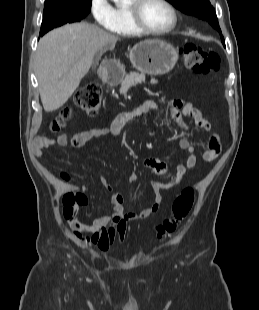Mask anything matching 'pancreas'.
Returning <instances> with one entry per match:
<instances>
[{"label": "pancreas", "mask_w": 259, "mask_h": 310, "mask_svg": "<svg viewBox=\"0 0 259 310\" xmlns=\"http://www.w3.org/2000/svg\"><path fill=\"white\" fill-rule=\"evenodd\" d=\"M145 81V75L139 73H130L126 75L124 79L121 80L120 93L126 94L131 87L141 84ZM151 83H157L155 79L151 80Z\"/></svg>", "instance_id": "1"}]
</instances>
